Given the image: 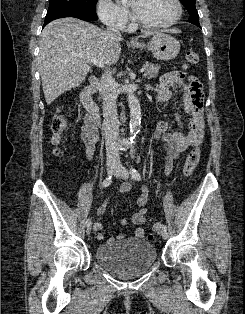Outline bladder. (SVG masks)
Listing matches in <instances>:
<instances>
[{
  "label": "bladder",
  "mask_w": 245,
  "mask_h": 314,
  "mask_svg": "<svg viewBox=\"0 0 245 314\" xmlns=\"http://www.w3.org/2000/svg\"><path fill=\"white\" fill-rule=\"evenodd\" d=\"M95 260L120 277H131L148 270L157 260L155 247L146 239L105 242L95 249Z\"/></svg>",
  "instance_id": "obj_1"
}]
</instances>
